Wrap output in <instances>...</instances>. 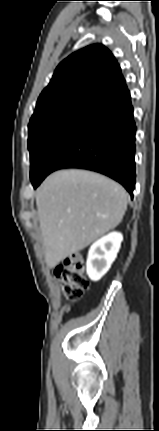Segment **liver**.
I'll return each mask as SVG.
<instances>
[{
	"label": "liver",
	"mask_w": 159,
	"mask_h": 431,
	"mask_svg": "<svg viewBox=\"0 0 159 431\" xmlns=\"http://www.w3.org/2000/svg\"><path fill=\"white\" fill-rule=\"evenodd\" d=\"M127 204L126 190L101 174L70 169L48 176L36 192L47 267H55L114 229Z\"/></svg>",
	"instance_id": "6515ba94"
}]
</instances>
